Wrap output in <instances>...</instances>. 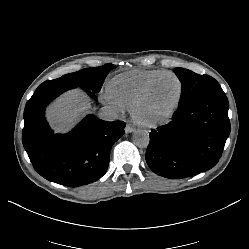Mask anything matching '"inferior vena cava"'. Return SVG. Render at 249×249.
<instances>
[{"label":"inferior vena cava","mask_w":249,"mask_h":249,"mask_svg":"<svg viewBox=\"0 0 249 249\" xmlns=\"http://www.w3.org/2000/svg\"><path fill=\"white\" fill-rule=\"evenodd\" d=\"M98 116L100 119L105 121H115L118 119L117 112L110 106H104L101 108V110L98 112Z\"/></svg>","instance_id":"602c4592"}]
</instances>
